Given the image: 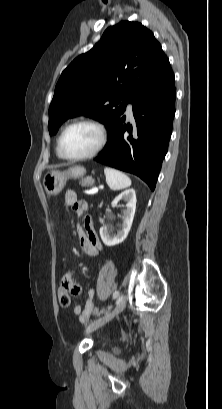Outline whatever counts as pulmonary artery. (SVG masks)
<instances>
[{
    "label": "pulmonary artery",
    "instance_id": "1",
    "mask_svg": "<svg viewBox=\"0 0 222 409\" xmlns=\"http://www.w3.org/2000/svg\"><path fill=\"white\" fill-rule=\"evenodd\" d=\"M127 116H128L130 119L133 118L132 105H131V103H127Z\"/></svg>",
    "mask_w": 222,
    "mask_h": 409
}]
</instances>
